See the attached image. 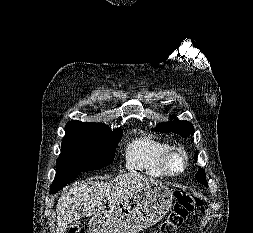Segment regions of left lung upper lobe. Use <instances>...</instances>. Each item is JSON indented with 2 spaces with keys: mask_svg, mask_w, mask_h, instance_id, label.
Returning <instances> with one entry per match:
<instances>
[{
  "mask_svg": "<svg viewBox=\"0 0 253 233\" xmlns=\"http://www.w3.org/2000/svg\"><path fill=\"white\" fill-rule=\"evenodd\" d=\"M154 130L159 132H173L179 134L182 137H188L194 134V127L191 123H189L188 121L179 120L160 123L154 128ZM197 156L198 153L195 154L196 160ZM196 179L205 186H208L205 176V170L203 168H200L199 171L196 173Z\"/></svg>",
  "mask_w": 253,
  "mask_h": 233,
  "instance_id": "obj_1",
  "label": "left lung upper lobe"
}]
</instances>
